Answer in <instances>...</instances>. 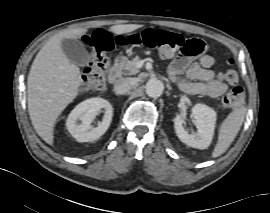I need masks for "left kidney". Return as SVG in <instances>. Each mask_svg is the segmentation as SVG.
<instances>
[{"instance_id":"5707ae66","label":"left kidney","mask_w":270,"mask_h":213,"mask_svg":"<svg viewBox=\"0 0 270 213\" xmlns=\"http://www.w3.org/2000/svg\"><path fill=\"white\" fill-rule=\"evenodd\" d=\"M192 115L195 120L197 133L189 134L183 127L181 115L178 114L174 118L176 135L181 142L190 147L206 149L212 142L217 114L211 107L199 103L192 107Z\"/></svg>"}]
</instances>
